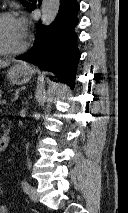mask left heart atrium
<instances>
[{"label": "left heart atrium", "mask_w": 128, "mask_h": 213, "mask_svg": "<svg viewBox=\"0 0 128 213\" xmlns=\"http://www.w3.org/2000/svg\"><path fill=\"white\" fill-rule=\"evenodd\" d=\"M16 23H17V26H18L20 32L23 34V36H26V33H27L26 19L24 17L16 18Z\"/></svg>", "instance_id": "39dd6f15"}]
</instances>
